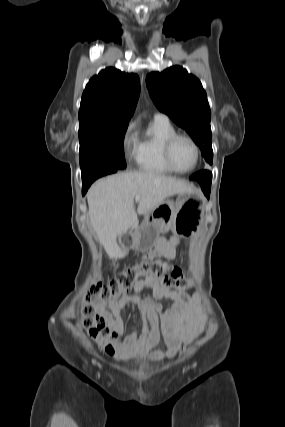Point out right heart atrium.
Listing matches in <instances>:
<instances>
[{
    "label": "right heart atrium",
    "mask_w": 285,
    "mask_h": 427,
    "mask_svg": "<svg viewBox=\"0 0 285 427\" xmlns=\"http://www.w3.org/2000/svg\"><path fill=\"white\" fill-rule=\"evenodd\" d=\"M135 127H136V123L135 122H130L127 125V127H126V129H125V131L123 133V136H122V146H123V149L126 152H129L130 149H131V147L136 142V138H135V134H134Z\"/></svg>",
    "instance_id": "d8ad5b80"
}]
</instances>
